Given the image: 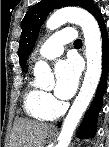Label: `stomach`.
<instances>
[{
	"instance_id": "0dacf381",
	"label": "stomach",
	"mask_w": 109,
	"mask_h": 147,
	"mask_svg": "<svg viewBox=\"0 0 109 147\" xmlns=\"http://www.w3.org/2000/svg\"><path fill=\"white\" fill-rule=\"evenodd\" d=\"M47 137H48V138H52V137H54V133L51 132V131H49V132L47 133Z\"/></svg>"
}]
</instances>
